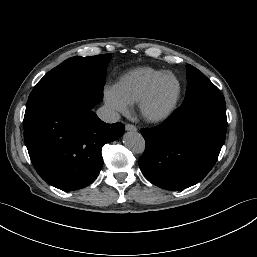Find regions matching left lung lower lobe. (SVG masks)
<instances>
[{"label": "left lung lower lobe", "mask_w": 257, "mask_h": 257, "mask_svg": "<svg viewBox=\"0 0 257 257\" xmlns=\"http://www.w3.org/2000/svg\"><path fill=\"white\" fill-rule=\"evenodd\" d=\"M226 129L225 100L181 106L163 124L141 129L146 148L138 160L139 167L158 187H190L214 166Z\"/></svg>", "instance_id": "obj_1"}]
</instances>
